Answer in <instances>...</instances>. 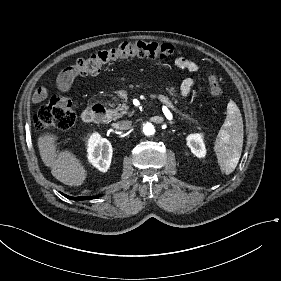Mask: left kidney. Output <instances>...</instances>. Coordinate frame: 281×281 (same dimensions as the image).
Segmentation results:
<instances>
[{
  "label": "left kidney",
  "instance_id": "5707ae66",
  "mask_svg": "<svg viewBox=\"0 0 281 281\" xmlns=\"http://www.w3.org/2000/svg\"><path fill=\"white\" fill-rule=\"evenodd\" d=\"M187 146L195 156L201 158L205 155V146L200 135L195 134L188 136Z\"/></svg>",
  "mask_w": 281,
  "mask_h": 281
}]
</instances>
